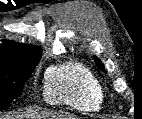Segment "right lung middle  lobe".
Masks as SVG:
<instances>
[{"instance_id":"obj_1","label":"right lung middle lobe","mask_w":142,"mask_h":119,"mask_svg":"<svg viewBox=\"0 0 142 119\" xmlns=\"http://www.w3.org/2000/svg\"><path fill=\"white\" fill-rule=\"evenodd\" d=\"M39 61L0 67V110L18 98Z\"/></svg>"}]
</instances>
